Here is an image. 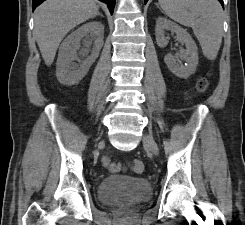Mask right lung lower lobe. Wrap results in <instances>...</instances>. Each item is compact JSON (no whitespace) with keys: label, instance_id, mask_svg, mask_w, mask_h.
<instances>
[{"label":"right lung lower lobe","instance_id":"right-lung-lower-lobe-1","mask_svg":"<svg viewBox=\"0 0 245 225\" xmlns=\"http://www.w3.org/2000/svg\"><path fill=\"white\" fill-rule=\"evenodd\" d=\"M43 1H45V0H33V2H32V10H34ZM100 1L108 4V8H109V10H110V12L112 14L113 10H114L115 0H100Z\"/></svg>","mask_w":245,"mask_h":225}]
</instances>
